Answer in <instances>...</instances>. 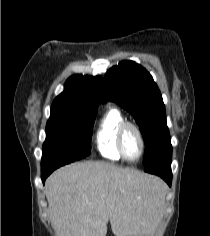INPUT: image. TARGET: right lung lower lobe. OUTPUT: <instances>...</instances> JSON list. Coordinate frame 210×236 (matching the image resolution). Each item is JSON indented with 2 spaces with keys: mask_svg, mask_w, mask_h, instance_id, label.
<instances>
[{
  "mask_svg": "<svg viewBox=\"0 0 210 236\" xmlns=\"http://www.w3.org/2000/svg\"><path fill=\"white\" fill-rule=\"evenodd\" d=\"M73 161L64 160V159H48L42 160L41 162V179L43 184L45 183L46 178L57 168L69 164Z\"/></svg>",
  "mask_w": 210,
  "mask_h": 236,
  "instance_id": "98d812e1",
  "label": "right lung lower lobe"
}]
</instances>
